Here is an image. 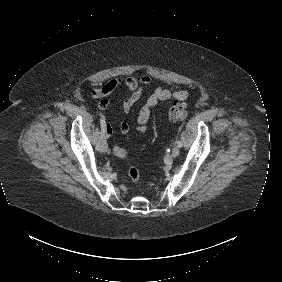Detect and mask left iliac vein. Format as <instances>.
<instances>
[{"label": "left iliac vein", "instance_id": "1", "mask_svg": "<svg viewBox=\"0 0 282 282\" xmlns=\"http://www.w3.org/2000/svg\"><path fill=\"white\" fill-rule=\"evenodd\" d=\"M179 152H180L179 147L178 146H174L173 149H172L171 156L173 158H176L179 155Z\"/></svg>", "mask_w": 282, "mask_h": 282}]
</instances>
